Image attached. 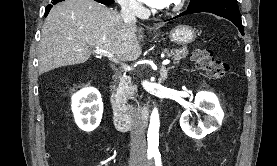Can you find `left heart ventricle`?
<instances>
[{
    "label": "left heart ventricle",
    "instance_id": "left-heart-ventricle-1",
    "mask_svg": "<svg viewBox=\"0 0 277 166\" xmlns=\"http://www.w3.org/2000/svg\"><path fill=\"white\" fill-rule=\"evenodd\" d=\"M177 0H168L166 6L164 7V9H168L171 6H173L176 3Z\"/></svg>",
    "mask_w": 277,
    "mask_h": 166
}]
</instances>
